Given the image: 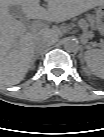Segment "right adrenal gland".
<instances>
[{"label": "right adrenal gland", "mask_w": 104, "mask_h": 137, "mask_svg": "<svg viewBox=\"0 0 104 137\" xmlns=\"http://www.w3.org/2000/svg\"><path fill=\"white\" fill-rule=\"evenodd\" d=\"M36 59H37V56L33 58V60L31 61V65L34 64V62L36 61Z\"/></svg>", "instance_id": "1"}]
</instances>
